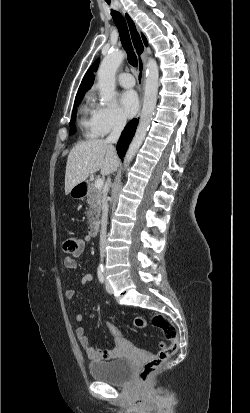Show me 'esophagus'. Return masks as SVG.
Here are the masks:
<instances>
[{"mask_svg": "<svg viewBox=\"0 0 250 413\" xmlns=\"http://www.w3.org/2000/svg\"><path fill=\"white\" fill-rule=\"evenodd\" d=\"M122 15L126 21L131 42L134 47V50L137 55V60H138V85L140 88L141 93H143L144 89V83H145V77H146V64L144 60V56L146 53V47L143 43V40L141 38V34L139 31V28L135 22V20L132 18V16L127 12L124 8L121 9Z\"/></svg>", "mask_w": 250, "mask_h": 413, "instance_id": "obj_1", "label": "esophagus"}]
</instances>
